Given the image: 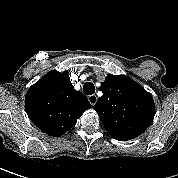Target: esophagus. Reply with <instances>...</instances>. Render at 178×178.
<instances>
[{
    "label": "esophagus",
    "instance_id": "34e87169",
    "mask_svg": "<svg viewBox=\"0 0 178 178\" xmlns=\"http://www.w3.org/2000/svg\"><path fill=\"white\" fill-rule=\"evenodd\" d=\"M88 101L90 102V104L93 106L96 104L97 102V96L96 95H90L88 96Z\"/></svg>",
    "mask_w": 178,
    "mask_h": 178
}]
</instances>
